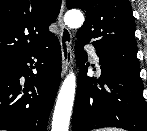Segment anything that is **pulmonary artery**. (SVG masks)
I'll list each match as a JSON object with an SVG mask.
<instances>
[{
    "label": "pulmonary artery",
    "instance_id": "1",
    "mask_svg": "<svg viewBox=\"0 0 147 131\" xmlns=\"http://www.w3.org/2000/svg\"><path fill=\"white\" fill-rule=\"evenodd\" d=\"M87 50L89 51V53L91 55L92 61L95 63V65L97 66V68L100 69V66H99V58H98V55L96 54L94 48L91 47V46H88L87 47Z\"/></svg>",
    "mask_w": 147,
    "mask_h": 131
}]
</instances>
